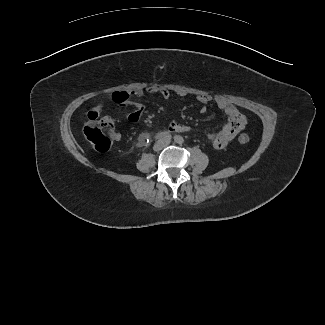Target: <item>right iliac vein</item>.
<instances>
[{"instance_id":"63e3f726","label":"right iliac vein","mask_w":325,"mask_h":325,"mask_svg":"<svg viewBox=\"0 0 325 325\" xmlns=\"http://www.w3.org/2000/svg\"><path fill=\"white\" fill-rule=\"evenodd\" d=\"M161 143H157V144H155V146H154V149L155 150H160L161 149Z\"/></svg>"}]
</instances>
